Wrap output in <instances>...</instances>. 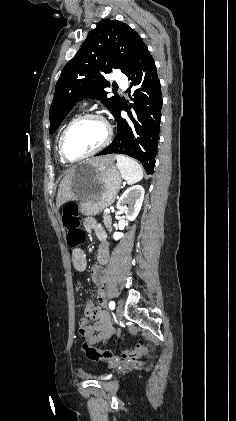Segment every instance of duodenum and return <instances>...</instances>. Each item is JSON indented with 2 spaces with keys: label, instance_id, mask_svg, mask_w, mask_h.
Segmentation results:
<instances>
[{
  "label": "duodenum",
  "instance_id": "1",
  "mask_svg": "<svg viewBox=\"0 0 236 421\" xmlns=\"http://www.w3.org/2000/svg\"><path fill=\"white\" fill-rule=\"evenodd\" d=\"M109 258V251L107 248V244L105 242H103L102 247L100 249L99 252V265L95 266L92 270V277L93 280L95 281V283L98 285V293H97V298L98 301L100 303V305H104L105 303V297H106V290H105V270L104 268L101 266L103 264H105L108 261ZM90 311L93 313V311H95L96 313L98 312L97 310H93L92 308L90 309ZM99 319L98 322L96 324L97 329L99 330V333L97 335H93V329L89 326H87L86 324H83L82 328H83V332L86 336L88 337H94L96 339H103V323L100 319L99 313H97Z\"/></svg>",
  "mask_w": 236,
  "mask_h": 421
}]
</instances>
